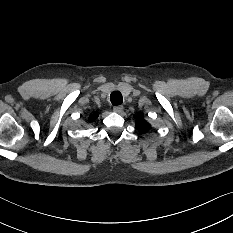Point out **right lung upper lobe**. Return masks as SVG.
<instances>
[{"mask_svg": "<svg viewBox=\"0 0 233 233\" xmlns=\"http://www.w3.org/2000/svg\"><path fill=\"white\" fill-rule=\"evenodd\" d=\"M98 117V113L94 112L92 115L89 117V121H94Z\"/></svg>", "mask_w": 233, "mask_h": 233, "instance_id": "right-lung-upper-lobe-1", "label": "right lung upper lobe"}]
</instances>
